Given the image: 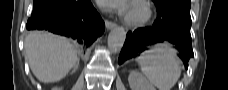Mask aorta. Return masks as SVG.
Here are the masks:
<instances>
[{
	"label": "aorta",
	"instance_id": "1",
	"mask_svg": "<svg viewBox=\"0 0 228 90\" xmlns=\"http://www.w3.org/2000/svg\"><path fill=\"white\" fill-rule=\"evenodd\" d=\"M126 39V32L122 27L114 28L108 36V48L113 52L121 50Z\"/></svg>",
	"mask_w": 228,
	"mask_h": 90
}]
</instances>
